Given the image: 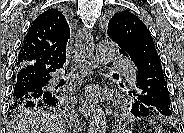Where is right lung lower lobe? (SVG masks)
<instances>
[{
    "label": "right lung lower lobe",
    "mask_w": 184,
    "mask_h": 133,
    "mask_svg": "<svg viewBox=\"0 0 184 133\" xmlns=\"http://www.w3.org/2000/svg\"><path fill=\"white\" fill-rule=\"evenodd\" d=\"M64 62L45 65L40 62L28 64L15 74L13 102L36 106H58L62 103L63 92L50 89L52 72L62 68Z\"/></svg>",
    "instance_id": "obj_1"
}]
</instances>
